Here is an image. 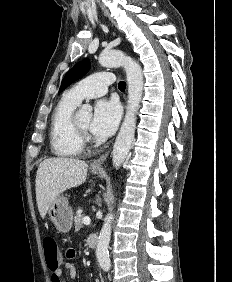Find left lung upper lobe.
<instances>
[{
    "label": "left lung upper lobe",
    "instance_id": "1",
    "mask_svg": "<svg viewBox=\"0 0 232 282\" xmlns=\"http://www.w3.org/2000/svg\"><path fill=\"white\" fill-rule=\"evenodd\" d=\"M90 69V61L89 59H84L80 62H78L72 69H70L62 83L59 92L63 91L65 88H67L71 83L76 81L77 79H80L83 77Z\"/></svg>",
    "mask_w": 232,
    "mask_h": 282
}]
</instances>
